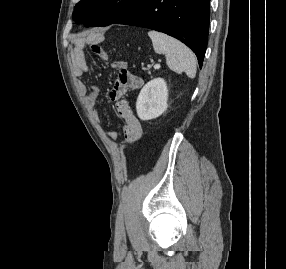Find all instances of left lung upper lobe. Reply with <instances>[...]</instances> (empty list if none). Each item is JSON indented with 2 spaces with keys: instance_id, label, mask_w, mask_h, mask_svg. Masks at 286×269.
I'll use <instances>...</instances> for the list:
<instances>
[{
  "instance_id": "1",
  "label": "left lung upper lobe",
  "mask_w": 286,
  "mask_h": 269,
  "mask_svg": "<svg viewBox=\"0 0 286 269\" xmlns=\"http://www.w3.org/2000/svg\"><path fill=\"white\" fill-rule=\"evenodd\" d=\"M144 0H81L76 4L73 19L89 26L113 24L136 9Z\"/></svg>"
}]
</instances>
